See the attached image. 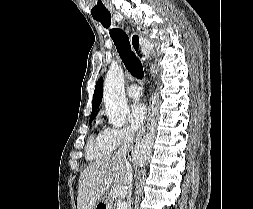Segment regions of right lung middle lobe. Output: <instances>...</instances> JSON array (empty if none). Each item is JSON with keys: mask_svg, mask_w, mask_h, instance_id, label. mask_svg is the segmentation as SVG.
Returning <instances> with one entry per match:
<instances>
[{"mask_svg": "<svg viewBox=\"0 0 253 209\" xmlns=\"http://www.w3.org/2000/svg\"><path fill=\"white\" fill-rule=\"evenodd\" d=\"M93 119H94V118H91V119H90V122H92V121H93Z\"/></svg>", "mask_w": 253, "mask_h": 209, "instance_id": "obj_1", "label": "right lung middle lobe"}]
</instances>
